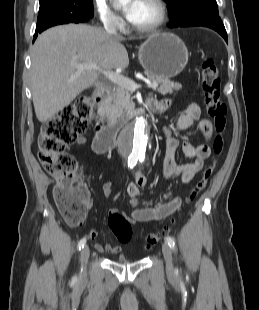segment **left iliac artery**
Listing matches in <instances>:
<instances>
[{
    "instance_id": "left-iliac-artery-1",
    "label": "left iliac artery",
    "mask_w": 259,
    "mask_h": 310,
    "mask_svg": "<svg viewBox=\"0 0 259 310\" xmlns=\"http://www.w3.org/2000/svg\"><path fill=\"white\" fill-rule=\"evenodd\" d=\"M166 241L172 249H175V241L172 237L170 236L166 237Z\"/></svg>"
}]
</instances>
